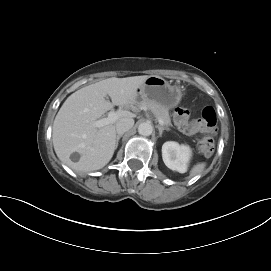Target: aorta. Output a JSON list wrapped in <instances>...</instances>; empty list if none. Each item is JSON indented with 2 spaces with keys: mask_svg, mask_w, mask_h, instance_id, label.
Masks as SVG:
<instances>
[{
  "mask_svg": "<svg viewBox=\"0 0 271 271\" xmlns=\"http://www.w3.org/2000/svg\"><path fill=\"white\" fill-rule=\"evenodd\" d=\"M153 132V126L149 122H143L138 126V133L142 136H150Z\"/></svg>",
  "mask_w": 271,
  "mask_h": 271,
  "instance_id": "1",
  "label": "aorta"
}]
</instances>
